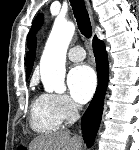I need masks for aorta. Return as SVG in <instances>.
<instances>
[{
    "instance_id": "aorta-1",
    "label": "aorta",
    "mask_w": 139,
    "mask_h": 150,
    "mask_svg": "<svg viewBox=\"0 0 139 150\" xmlns=\"http://www.w3.org/2000/svg\"><path fill=\"white\" fill-rule=\"evenodd\" d=\"M74 32L73 22L56 20L53 25L40 62L41 80L47 92L61 94L66 90V53Z\"/></svg>"
}]
</instances>
